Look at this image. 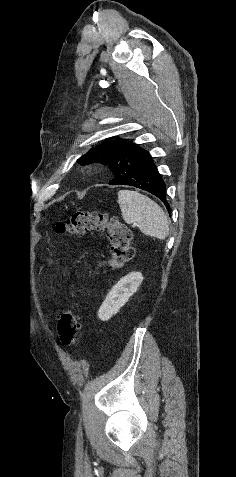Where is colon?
<instances>
[{"mask_svg":"<svg viewBox=\"0 0 236 477\" xmlns=\"http://www.w3.org/2000/svg\"><path fill=\"white\" fill-rule=\"evenodd\" d=\"M57 234L83 236L90 232L106 233L111 244V256L103 264L118 268L134 256L131 230L116 218H109L104 212L76 211L65 221H57L54 225ZM79 332V316L76 305L67 308L57 322V333L65 346L77 343Z\"/></svg>","mask_w":236,"mask_h":477,"instance_id":"colon-1","label":"colon"}]
</instances>
